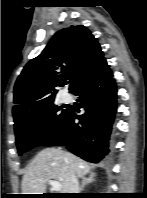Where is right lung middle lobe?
I'll use <instances>...</instances> for the list:
<instances>
[{
    "mask_svg": "<svg viewBox=\"0 0 147 198\" xmlns=\"http://www.w3.org/2000/svg\"><path fill=\"white\" fill-rule=\"evenodd\" d=\"M70 108L63 109L53 103L41 107L14 123L18 154L41 146L57 134L65 123Z\"/></svg>",
    "mask_w": 147,
    "mask_h": 198,
    "instance_id": "right-lung-middle-lobe-1",
    "label": "right lung middle lobe"
}]
</instances>
